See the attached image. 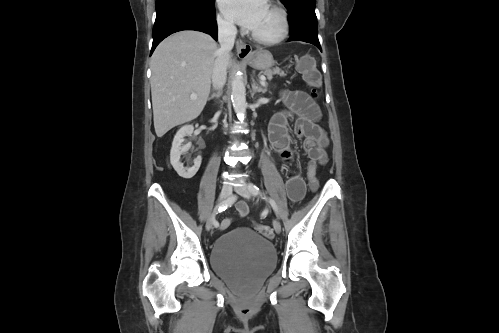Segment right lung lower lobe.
I'll use <instances>...</instances> for the list:
<instances>
[{"label": "right lung lower lobe", "mask_w": 499, "mask_h": 333, "mask_svg": "<svg viewBox=\"0 0 499 333\" xmlns=\"http://www.w3.org/2000/svg\"><path fill=\"white\" fill-rule=\"evenodd\" d=\"M215 19V8L205 13L175 9L156 15L151 54L164 38L182 30L201 31L217 40V24Z\"/></svg>", "instance_id": "obj_1"}]
</instances>
